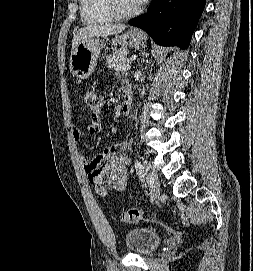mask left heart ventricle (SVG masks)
<instances>
[{
	"label": "left heart ventricle",
	"instance_id": "left-heart-ventricle-1",
	"mask_svg": "<svg viewBox=\"0 0 253 271\" xmlns=\"http://www.w3.org/2000/svg\"><path fill=\"white\" fill-rule=\"evenodd\" d=\"M122 1V6L126 10H131L140 5L138 0H121Z\"/></svg>",
	"mask_w": 253,
	"mask_h": 271
}]
</instances>
